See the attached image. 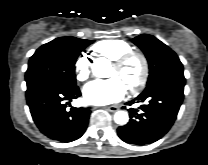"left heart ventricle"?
I'll return each mask as SVG.
<instances>
[{"label":"left heart ventricle","instance_id":"1","mask_svg":"<svg viewBox=\"0 0 208 165\" xmlns=\"http://www.w3.org/2000/svg\"><path fill=\"white\" fill-rule=\"evenodd\" d=\"M109 77H118L126 88L134 85L141 76V63L138 59H131L123 68L111 66Z\"/></svg>","mask_w":208,"mask_h":165}]
</instances>
